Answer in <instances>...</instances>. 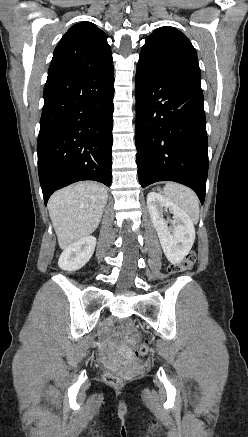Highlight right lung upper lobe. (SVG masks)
Returning <instances> with one entry per match:
<instances>
[{
  "mask_svg": "<svg viewBox=\"0 0 248 437\" xmlns=\"http://www.w3.org/2000/svg\"><path fill=\"white\" fill-rule=\"evenodd\" d=\"M113 64L104 32L91 22L72 26L54 50L48 70L55 74H88Z\"/></svg>",
  "mask_w": 248,
  "mask_h": 437,
  "instance_id": "right-lung-upper-lobe-1",
  "label": "right lung upper lobe"
}]
</instances>
